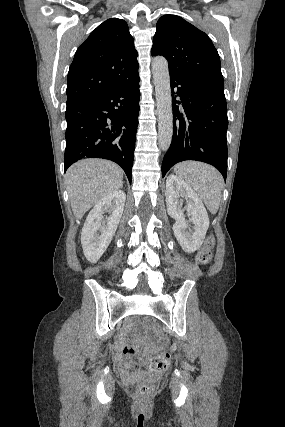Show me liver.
<instances>
[{
    "label": "liver",
    "instance_id": "1",
    "mask_svg": "<svg viewBox=\"0 0 285 427\" xmlns=\"http://www.w3.org/2000/svg\"><path fill=\"white\" fill-rule=\"evenodd\" d=\"M71 207L76 219L104 197L123 185V170L103 159H84L73 164L65 175Z\"/></svg>",
    "mask_w": 285,
    "mask_h": 427
}]
</instances>
